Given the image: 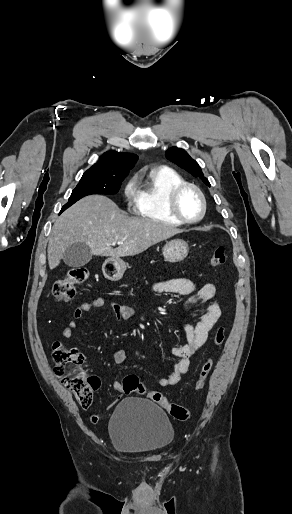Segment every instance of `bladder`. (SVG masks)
<instances>
[{"instance_id":"bladder-1","label":"bladder","mask_w":292,"mask_h":514,"mask_svg":"<svg viewBox=\"0 0 292 514\" xmlns=\"http://www.w3.org/2000/svg\"><path fill=\"white\" fill-rule=\"evenodd\" d=\"M109 433L114 448L124 454H152L169 446L175 437L165 412L139 398L124 399L116 406Z\"/></svg>"}]
</instances>
